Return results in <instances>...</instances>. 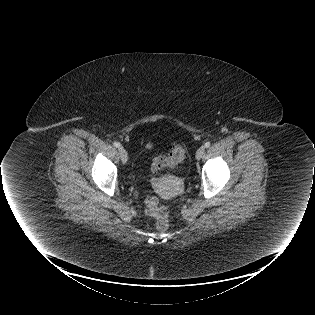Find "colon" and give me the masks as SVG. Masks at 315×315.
<instances>
[{
    "instance_id": "1",
    "label": "colon",
    "mask_w": 315,
    "mask_h": 315,
    "mask_svg": "<svg viewBox=\"0 0 315 315\" xmlns=\"http://www.w3.org/2000/svg\"><path fill=\"white\" fill-rule=\"evenodd\" d=\"M185 156L183 145H174L167 156H159L152 163V170L159 172L177 166ZM146 212L154 218L158 230L164 231L169 228L170 219L167 208L160 206L158 199L154 196H147L145 199Z\"/></svg>"
}]
</instances>
